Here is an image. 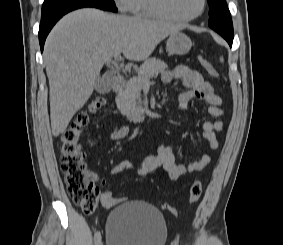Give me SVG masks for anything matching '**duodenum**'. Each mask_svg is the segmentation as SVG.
Listing matches in <instances>:
<instances>
[{
    "label": "duodenum",
    "mask_w": 283,
    "mask_h": 245,
    "mask_svg": "<svg viewBox=\"0 0 283 245\" xmlns=\"http://www.w3.org/2000/svg\"><path fill=\"white\" fill-rule=\"evenodd\" d=\"M125 84H126V78L125 76L119 74L115 77L114 79V83H113V92L116 94V95H119L124 87H125ZM143 117H140L139 120H142Z\"/></svg>",
    "instance_id": "duodenum-1"
}]
</instances>
